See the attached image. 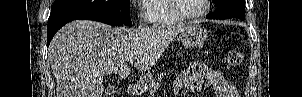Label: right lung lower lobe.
I'll return each mask as SVG.
<instances>
[{"mask_svg": "<svg viewBox=\"0 0 302 97\" xmlns=\"http://www.w3.org/2000/svg\"><path fill=\"white\" fill-rule=\"evenodd\" d=\"M78 19H87V20H95L102 23H106L113 26H122L123 23L118 21L117 19L110 17L106 14L93 12V11H83L77 13L66 14L62 16H58L52 19H48L47 26V45L50 44L54 34L66 23L78 20Z\"/></svg>", "mask_w": 302, "mask_h": 97, "instance_id": "right-lung-lower-lobe-1", "label": "right lung lower lobe"}]
</instances>
